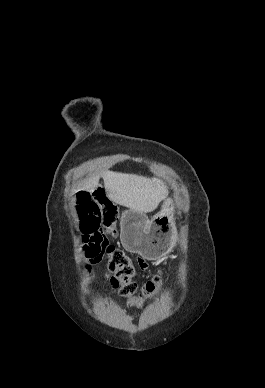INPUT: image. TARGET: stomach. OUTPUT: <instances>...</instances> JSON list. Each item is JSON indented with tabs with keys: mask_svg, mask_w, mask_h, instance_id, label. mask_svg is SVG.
<instances>
[{
	"mask_svg": "<svg viewBox=\"0 0 265 388\" xmlns=\"http://www.w3.org/2000/svg\"><path fill=\"white\" fill-rule=\"evenodd\" d=\"M172 199L164 202L161 211L152 220L132 209L123 212L120 240L123 247L148 260H157L169 253L176 239Z\"/></svg>",
	"mask_w": 265,
	"mask_h": 388,
	"instance_id": "stomach-1",
	"label": "stomach"
}]
</instances>
